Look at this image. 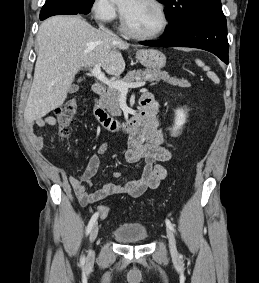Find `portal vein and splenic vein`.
<instances>
[{
  "mask_svg": "<svg viewBox=\"0 0 259 283\" xmlns=\"http://www.w3.org/2000/svg\"><path fill=\"white\" fill-rule=\"evenodd\" d=\"M91 74L97 78L100 82L107 85L108 87H112L118 89L122 93H127L129 88H139L145 85V81H139L135 83H125L123 81H113L109 80L105 75L101 72L100 65L95 64L93 68L90 69Z\"/></svg>",
  "mask_w": 259,
  "mask_h": 283,
  "instance_id": "obj_1",
  "label": "portal vein and splenic vein"
}]
</instances>
